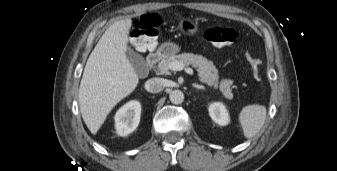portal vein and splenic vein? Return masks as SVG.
<instances>
[{"label": "portal vein and splenic vein", "mask_w": 337, "mask_h": 171, "mask_svg": "<svg viewBox=\"0 0 337 171\" xmlns=\"http://www.w3.org/2000/svg\"><path fill=\"white\" fill-rule=\"evenodd\" d=\"M169 69L173 70V71H181V70L185 69L186 73H188L190 75H193V73H194L192 68H189V67L184 68V65L180 62H177V61L170 63Z\"/></svg>", "instance_id": "1"}]
</instances>
